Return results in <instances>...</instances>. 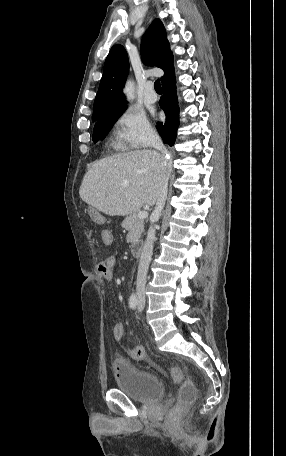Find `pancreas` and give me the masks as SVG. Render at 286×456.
I'll list each match as a JSON object with an SVG mask.
<instances>
[{"instance_id": "pancreas-1", "label": "pancreas", "mask_w": 286, "mask_h": 456, "mask_svg": "<svg viewBox=\"0 0 286 456\" xmlns=\"http://www.w3.org/2000/svg\"><path fill=\"white\" fill-rule=\"evenodd\" d=\"M121 226L128 231L127 243L139 242L141 234L144 231V220L140 219L136 213L127 216Z\"/></svg>"}]
</instances>
